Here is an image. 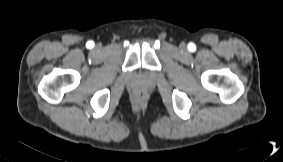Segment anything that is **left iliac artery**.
Returning <instances> with one entry per match:
<instances>
[{
  "mask_svg": "<svg viewBox=\"0 0 283 162\" xmlns=\"http://www.w3.org/2000/svg\"><path fill=\"white\" fill-rule=\"evenodd\" d=\"M188 49H189L190 51H194V50H195V45H194L193 43H189V44H188Z\"/></svg>",
  "mask_w": 283,
  "mask_h": 162,
  "instance_id": "left-iliac-artery-1",
  "label": "left iliac artery"
}]
</instances>
